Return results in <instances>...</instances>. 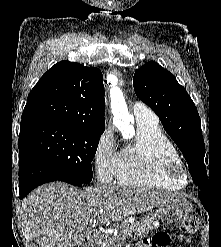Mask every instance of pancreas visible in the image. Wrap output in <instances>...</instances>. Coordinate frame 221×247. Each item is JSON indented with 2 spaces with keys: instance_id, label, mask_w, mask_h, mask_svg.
<instances>
[{
  "instance_id": "1",
  "label": "pancreas",
  "mask_w": 221,
  "mask_h": 247,
  "mask_svg": "<svg viewBox=\"0 0 221 247\" xmlns=\"http://www.w3.org/2000/svg\"><path fill=\"white\" fill-rule=\"evenodd\" d=\"M153 229V221L151 219H144L140 222H135L131 225H122L119 235L116 237H106L102 245L104 247H123L126 239L132 234L137 237H145Z\"/></svg>"
}]
</instances>
